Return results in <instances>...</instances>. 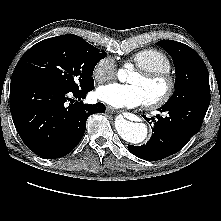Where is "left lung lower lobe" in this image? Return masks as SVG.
Wrapping results in <instances>:
<instances>
[{
  "instance_id": "0a47b994",
  "label": "left lung lower lobe",
  "mask_w": 221,
  "mask_h": 221,
  "mask_svg": "<svg viewBox=\"0 0 221 221\" xmlns=\"http://www.w3.org/2000/svg\"><path fill=\"white\" fill-rule=\"evenodd\" d=\"M209 103L210 95H206L187 102L164 104L159 110L168 112V115H157L152 120L154 133L150 140L142 146L129 145V151L139 158L151 161L178 152L199 131ZM143 117L147 121L151 120Z\"/></svg>"
}]
</instances>
